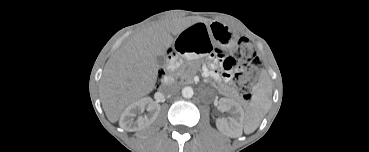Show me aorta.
Masks as SVG:
<instances>
[{
	"instance_id": "obj_1",
	"label": "aorta",
	"mask_w": 369,
	"mask_h": 152,
	"mask_svg": "<svg viewBox=\"0 0 369 152\" xmlns=\"http://www.w3.org/2000/svg\"><path fill=\"white\" fill-rule=\"evenodd\" d=\"M181 93L184 98H191L194 95L193 88L190 86L184 87Z\"/></svg>"
}]
</instances>
